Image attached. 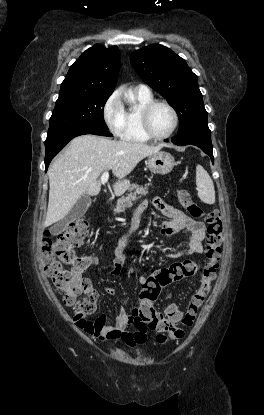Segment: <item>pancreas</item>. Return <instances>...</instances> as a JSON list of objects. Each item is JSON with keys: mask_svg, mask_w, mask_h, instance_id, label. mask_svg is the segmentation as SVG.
I'll return each mask as SVG.
<instances>
[{"mask_svg": "<svg viewBox=\"0 0 264 415\" xmlns=\"http://www.w3.org/2000/svg\"><path fill=\"white\" fill-rule=\"evenodd\" d=\"M148 186L138 187L135 192L128 194L125 197L120 198L117 201L116 207L114 208V214L124 213L125 210L132 206V202L138 199V195L148 194Z\"/></svg>", "mask_w": 264, "mask_h": 415, "instance_id": "1", "label": "pancreas"}]
</instances>
